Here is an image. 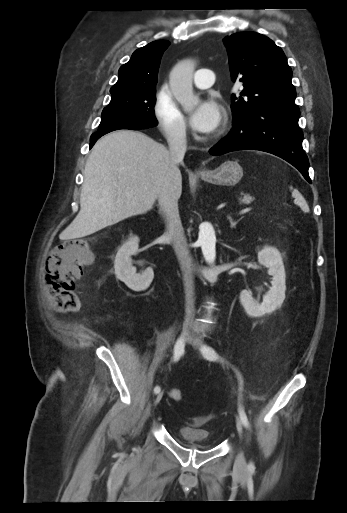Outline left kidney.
<instances>
[{
  "instance_id": "obj_1",
  "label": "left kidney",
  "mask_w": 347,
  "mask_h": 513,
  "mask_svg": "<svg viewBox=\"0 0 347 513\" xmlns=\"http://www.w3.org/2000/svg\"><path fill=\"white\" fill-rule=\"evenodd\" d=\"M258 262L268 268V274L272 275V287L263 297L260 304L252 297V293L243 290L240 294V301L246 313L252 317H261L271 314L281 307L285 299L286 274L280 252L271 246H264L258 252Z\"/></svg>"
}]
</instances>
